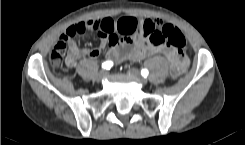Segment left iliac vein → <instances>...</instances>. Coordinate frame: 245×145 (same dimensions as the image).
<instances>
[{
    "label": "left iliac vein",
    "instance_id": "1",
    "mask_svg": "<svg viewBox=\"0 0 245 145\" xmlns=\"http://www.w3.org/2000/svg\"><path fill=\"white\" fill-rule=\"evenodd\" d=\"M127 74L134 80H136L138 83H140L141 85H146L148 83V81L143 78L139 71L135 68H131L127 71Z\"/></svg>",
    "mask_w": 245,
    "mask_h": 145
}]
</instances>
